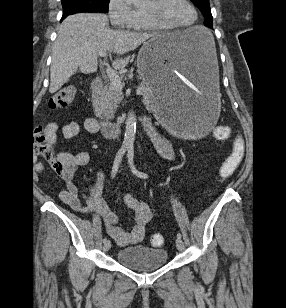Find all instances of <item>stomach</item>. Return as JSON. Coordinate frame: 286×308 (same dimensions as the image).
Segmentation results:
<instances>
[{"label": "stomach", "mask_w": 286, "mask_h": 308, "mask_svg": "<svg viewBox=\"0 0 286 308\" xmlns=\"http://www.w3.org/2000/svg\"><path fill=\"white\" fill-rule=\"evenodd\" d=\"M182 36H153L138 53V72L151 88L156 119L180 138H197L216 125L220 107L217 48L210 32L196 26Z\"/></svg>", "instance_id": "obj_1"}]
</instances>
